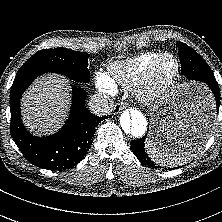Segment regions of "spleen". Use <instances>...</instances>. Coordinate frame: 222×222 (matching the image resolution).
<instances>
[{
  "label": "spleen",
  "instance_id": "obj_1",
  "mask_svg": "<svg viewBox=\"0 0 222 222\" xmlns=\"http://www.w3.org/2000/svg\"><path fill=\"white\" fill-rule=\"evenodd\" d=\"M145 148L147 154L154 162L166 167L184 165L194 155L190 151L175 152L172 148L164 147L150 138L146 139Z\"/></svg>",
  "mask_w": 222,
  "mask_h": 222
}]
</instances>
